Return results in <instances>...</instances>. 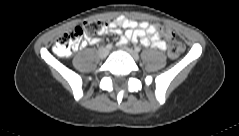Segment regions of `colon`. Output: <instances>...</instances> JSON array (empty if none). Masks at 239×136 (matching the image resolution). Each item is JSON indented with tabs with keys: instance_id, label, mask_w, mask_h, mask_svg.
Instances as JSON below:
<instances>
[{
	"instance_id": "1",
	"label": "colon",
	"mask_w": 239,
	"mask_h": 136,
	"mask_svg": "<svg viewBox=\"0 0 239 136\" xmlns=\"http://www.w3.org/2000/svg\"><path fill=\"white\" fill-rule=\"evenodd\" d=\"M103 27L101 21L87 20L82 25L68 30L57 39L54 45L55 53L62 57L70 55L78 48L83 36L94 37L102 31ZM161 32L169 39V56L179 57L184 51V45L174 39V33L171 30L161 28Z\"/></svg>"
}]
</instances>
